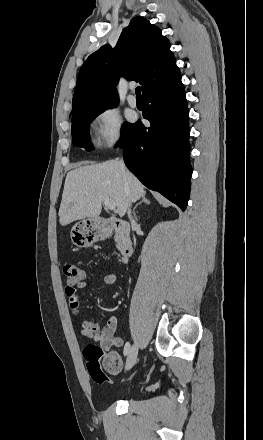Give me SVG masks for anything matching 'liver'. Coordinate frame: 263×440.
Returning a JSON list of instances; mask_svg holds the SVG:
<instances>
[{
	"mask_svg": "<svg viewBox=\"0 0 263 440\" xmlns=\"http://www.w3.org/2000/svg\"><path fill=\"white\" fill-rule=\"evenodd\" d=\"M145 194L142 183L129 171L124 175L116 160L80 166L67 173L59 209L60 225L98 217L105 198L115 202L123 217L128 195L136 201Z\"/></svg>",
	"mask_w": 263,
	"mask_h": 440,
	"instance_id": "1",
	"label": "liver"
}]
</instances>
